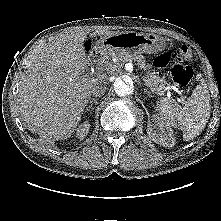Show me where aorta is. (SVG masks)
<instances>
[{"instance_id": "1", "label": "aorta", "mask_w": 221, "mask_h": 221, "mask_svg": "<svg viewBox=\"0 0 221 221\" xmlns=\"http://www.w3.org/2000/svg\"><path fill=\"white\" fill-rule=\"evenodd\" d=\"M113 89L118 96L130 95L133 91V87L130 83L126 82L123 78H116L113 83Z\"/></svg>"}]
</instances>
